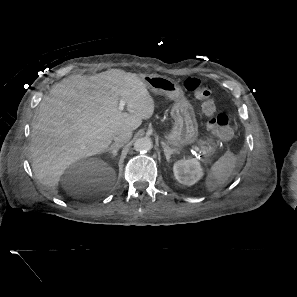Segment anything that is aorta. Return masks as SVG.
<instances>
[{
    "instance_id": "762f6f07",
    "label": "aorta",
    "mask_w": 297,
    "mask_h": 297,
    "mask_svg": "<svg viewBox=\"0 0 297 297\" xmlns=\"http://www.w3.org/2000/svg\"><path fill=\"white\" fill-rule=\"evenodd\" d=\"M152 149V141L150 138H139L134 143V150L140 153H146Z\"/></svg>"
}]
</instances>
